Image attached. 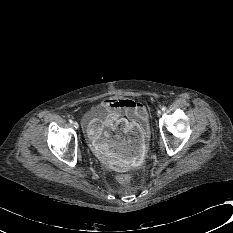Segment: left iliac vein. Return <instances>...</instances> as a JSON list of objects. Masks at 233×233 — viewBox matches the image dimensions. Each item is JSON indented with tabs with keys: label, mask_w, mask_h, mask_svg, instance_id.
Wrapping results in <instances>:
<instances>
[{
	"label": "left iliac vein",
	"mask_w": 233,
	"mask_h": 233,
	"mask_svg": "<svg viewBox=\"0 0 233 233\" xmlns=\"http://www.w3.org/2000/svg\"><path fill=\"white\" fill-rule=\"evenodd\" d=\"M157 115H158V116H161V115H162V110L159 109V110L157 111Z\"/></svg>",
	"instance_id": "4c4485c4"
}]
</instances>
